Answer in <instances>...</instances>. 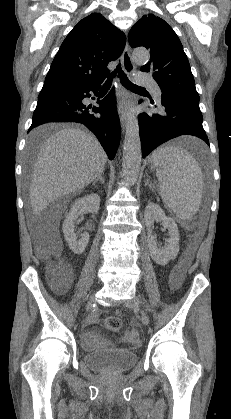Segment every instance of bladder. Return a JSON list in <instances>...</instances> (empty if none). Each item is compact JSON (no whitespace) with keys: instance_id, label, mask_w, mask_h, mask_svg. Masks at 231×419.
<instances>
[{"instance_id":"31cf9c89","label":"bladder","mask_w":231,"mask_h":419,"mask_svg":"<svg viewBox=\"0 0 231 419\" xmlns=\"http://www.w3.org/2000/svg\"><path fill=\"white\" fill-rule=\"evenodd\" d=\"M83 362L91 370L120 373L132 368L138 362V355L122 348H111L86 353Z\"/></svg>"}]
</instances>
